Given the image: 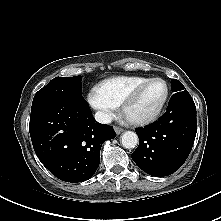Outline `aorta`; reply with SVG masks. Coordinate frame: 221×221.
Here are the masks:
<instances>
[{"label": "aorta", "instance_id": "obj_1", "mask_svg": "<svg viewBox=\"0 0 221 221\" xmlns=\"http://www.w3.org/2000/svg\"><path fill=\"white\" fill-rule=\"evenodd\" d=\"M121 143L124 148L132 149L138 144V136L133 131H126L121 136Z\"/></svg>", "mask_w": 221, "mask_h": 221}]
</instances>
